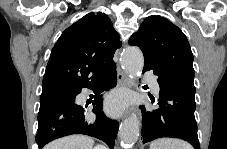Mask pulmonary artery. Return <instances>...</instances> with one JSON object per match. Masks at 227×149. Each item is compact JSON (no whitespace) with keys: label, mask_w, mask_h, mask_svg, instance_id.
<instances>
[{"label":"pulmonary artery","mask_w":227,"mask_h":149,"mask_svg":"<svg viewBox=\"0 0 227 149\" xmlns=\"http://www.w3.org/2000/svg\"><path fill=\"white\" fill-rule=\"evenodd\" d=\"M145 77L149 80L150 87H151L153 93L159 94L160 88H159V84H158L156 78H154L153 76H151L148 73L145 74Z\"/></svg>","instance_id":"e3ab8cb5"}]
</instances>
